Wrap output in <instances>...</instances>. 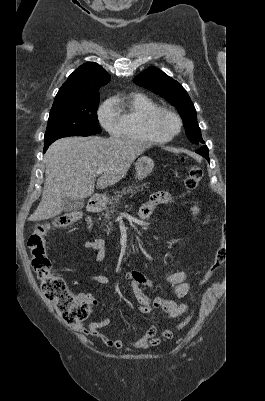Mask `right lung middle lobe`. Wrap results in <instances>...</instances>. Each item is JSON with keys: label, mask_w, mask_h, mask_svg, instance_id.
Listing matches in <instances>:
<instances>
[{"label": "right lung middle lobe", "mask_w": 265, "mask_h": 401, "mask_svg": "<svg viewBox=\"0 0 265 401\" xmlns=\"http://www.w3.org/2000/svg\"><path fill=\"white\" fill-rule=\"evenodd\" d=\"M100 96H92L53 106L50 111L44 144L68 136H90L101 132L97 119Z\"/></svg>", "instance_id": "1"}]
</instances>
